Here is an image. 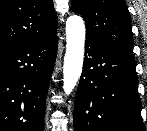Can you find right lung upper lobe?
Instances as JSON below:
<instances>
[{
	"label": "right lung upper lobe",
	"instance_id": "1",
	"mask_svg": "<svg viewBox=\"0 0 147 131\" xmlns=\"http://www.w3.org/2000/svg\"><path fill=\"white\" fill-rule=\"evenodd\" d=\"M57 31L52 0H0V55Z\"/></svg>",
	"mask_w": 147,
	"mask_h": 131
}]
</instances>
